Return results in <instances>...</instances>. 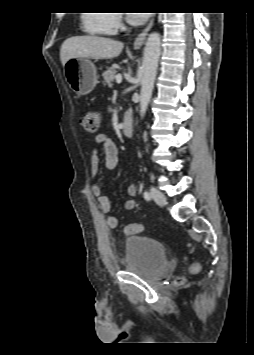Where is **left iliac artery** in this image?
Segmentation results:
<instances>
[{
    "label": "left iliac artery",
    "mask_w": 254,
    "mask_h": 355,
    "mask_svg": "<svg viewBox=\"0 0 254 355\" xmlns=\"http://www.w3.org/2000/svg\"><path fill=\"white\" fill-rule=\"evenodd\" d=\"M143 196H144L145 200H147V201H149L151 199V195L148 191H145L143 193Z\"/></svg>",
    "instance_id": "44dca946"
}]
</instances>
